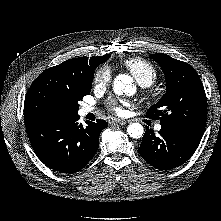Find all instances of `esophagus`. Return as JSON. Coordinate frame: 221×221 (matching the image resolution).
<instances>
[{"mask_svg": "<svg viewBox=\"0 0 221 221\" xmlns=\"http://www.w3.org/2000/svg\"><path fill=\"white\" fill-rule=\"evenodd\" d=\"M126 123H127V121L121 120V119H114L111 121V124H114V125H124Z\"/></svg>", "mask_w": 221, "mask_h": 221, "instance_id": "obj_1", "label": "esophagus"}]
</instances>
